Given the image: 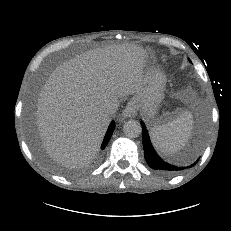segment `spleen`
Wrapping results in <instances>:
<instances>
[{
	"mask_svg": "<svg viewBox=\"0 0 231 231\" xmlns=\"http://www.w3.org/2000/svg\"><path fill=\"white\" fill-rule=\"evenodd\" d=\"M193 115L184 111L177 118L150 129V137L156 150L161 154H174L181 150L191 136Z\"/></svg>",
	"mask_w": 231,
	"mask_h": 231,
	"instance_id": "obj_1",
	"label": "spleen"
}]
</instances>
